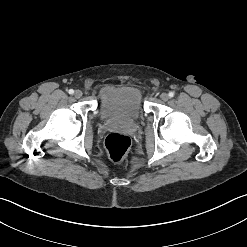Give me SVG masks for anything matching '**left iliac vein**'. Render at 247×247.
<instances>
[{"label":"left iliac vein","instance_id":"4c4485c4","mask_svg":"<svg viewBox=\"0 0 247 247\" xmlns=\"http://www.w3.org/2000/svg\"><path fill=\"white\" fill-rule=\"evenodd\" d=\"M161 100L167 101L169 99V95L167 93H162L160 95Z\"/></svg>","mask_w":247,"mask_h":247}]
</instances>
